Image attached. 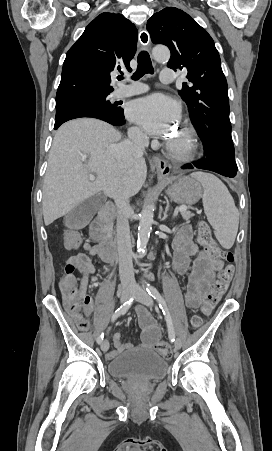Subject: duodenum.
I'll list each match as a JSON object with an SVG mask.
<instances>
[{
  "mask_svg": "<svg viewBox=\"0 0 272 451\" xmlns=\"http://www.w3.org/2000/svg\"><path fill=\"white\" fill-rule=\"evenodd\" d=\"M114 207L110 203H106L101 208L96 219L92 222L90 231L92 236L98 237L100 232L109 226L113 220ZM99 256L103 261L112 262L116 258L115 241L110 236L103 237L97 244Z\"/></svg>",
  "mask_w": 272,
  "mask_h": 451,
  "instance_id": "1",
  "label": "duodenum"
}]
</instances>
